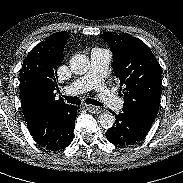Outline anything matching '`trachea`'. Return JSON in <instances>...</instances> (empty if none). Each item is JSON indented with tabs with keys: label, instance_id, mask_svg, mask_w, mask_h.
<instances>
[{
	"label": "trachea",
	"instance_id": "obj_1",
	"mask_svg": "<svg viewBox=\"0 0 183 183\" xmlns=\"http://www.w3.org/2000/svg\"><path fill=\"white\" fill-rule=\"evenodd\" d=\"M68 103H71V104H81V100L79 97H68V96H63ZM87 104H91V105H95V106H103L102 103H100L99 101H96L94 99H90V98H87L86 101H85Z\"/></svg>",
	"mask_w": 183,
	"mask_h": 183
}]
</instances>
